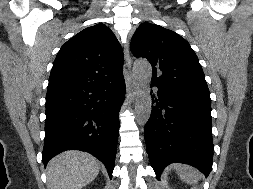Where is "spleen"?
Instances as JSON below:
<instances>
[{"label": "spleen", "instance_id": "3e777b00", "mask_svg": "<svg viewBox=\"0 0 253 189\" xmlns=\"http://www.w3.org/2000/svg\"><path fill=\"white\" fill-rule=\"evenodd\" d=\"M175 169L180 178L186 183L196 184L200 179V173L191 166L177 164L175 165Z\"/></svg>", "mask_w": 253, "mask_h": 189}]
</instances>
